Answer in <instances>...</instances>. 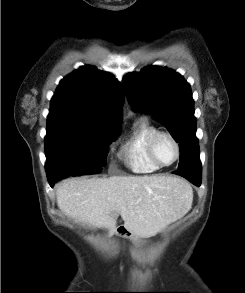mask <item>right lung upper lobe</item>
<instances>
[{"mask_svg": "<svg viewBox=\"0 0 245 293\" xmlns=\"http://www.w3.org/2000/svg\"><path fill=\"white\" fill-rule=\"evenodd\" d=\"M123 100L122 86L112 74L82 66L60 81L47 118L119 127Z\"/></svg>", "mask_w": 245, "mask_h": 293, "instance_id": "obj_1", "label": "right lung upper lobe"}]
</instances>
